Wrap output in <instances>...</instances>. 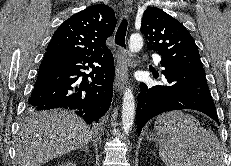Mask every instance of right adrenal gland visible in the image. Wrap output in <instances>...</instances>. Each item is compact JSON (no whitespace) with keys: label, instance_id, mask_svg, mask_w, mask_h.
I'll return each instance as SVG.
<instances>
[{"label":"right adrenal gland","instance_id":"2a0ac1e0","mask_svg":"<svg viewBox=\"0 0 231 166\" xmlns=\"http://www.w3.org/2000/svg\"><path fill=\"white\" fill-rule=\"evenodd\" d=\"M82 150L85 151L89 156H91V154L89 153V149H88V146H87V145L84 146V147L82 148Z\"/></svg>","mask_w":231,"mask_h":166}]
</instances>
